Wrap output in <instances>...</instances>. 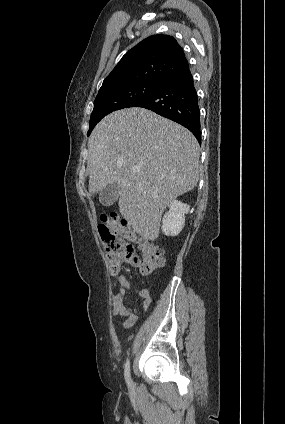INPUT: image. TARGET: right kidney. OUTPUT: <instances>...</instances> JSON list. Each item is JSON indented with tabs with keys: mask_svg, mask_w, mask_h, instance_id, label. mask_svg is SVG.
I'll list each match as a JSON object with an SVG mask.
<instances>
[{
	"mask_svg": "<svg viewBox=\"0 0 285 424\" xmlns=\"http://www.w3.org/2000/svg\"><path fill=\"white\" fill-rule=\"evenodd\" d=\"M190 206L178 200H173L169 205V211L165 213L162 221V232L166 236H177L184 227L185 214Z\"/></svg>",
	"mask_w": 285,
	"mask_h": 424,
	"instance_id": "right-kidney-1",
	"label": "right kidney"
}]
</instances>
